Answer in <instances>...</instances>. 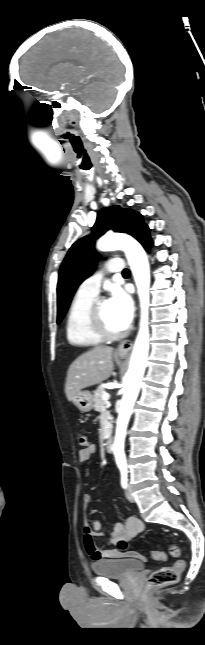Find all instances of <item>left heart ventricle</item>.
<instances>
[{
    "mask_svg": "<svg viewBox=\"0 0 205 645\" xmlns=\"http://www.w3.org/2000/svg\"><path fill=\"white\" fill-rule=\"evenodd\" d=\"M100 308H101L102 317H103L107 327L110 330L114 331V332L122 331V329L118 325V323H117V321H116V319H115V317L113 315L112 309H111L108 301H101Z\"/></svg>",
    "mask_w": 205,
    "mask_h": 645,
    "instance_id": "left-heart-ventricle-1",
    "label": "left heart ventricle"
}]
</instances>
